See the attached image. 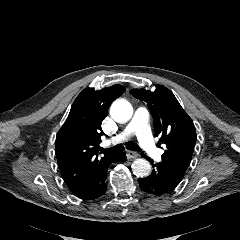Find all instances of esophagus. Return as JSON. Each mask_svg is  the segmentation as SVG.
Wrapping results in <instances>:
<instances>
[{
	"label": "esophagus",
	"mask_w": 240,
	"mask_h": 240,
	"mask_svg": "<svg viewBox=\"0 0 240 240\" xmlns=\"http://www.w3.org/2000/svg\"><path fill=\"white\" fill-rule=\"evenodd\" d=\"M137 156H138V153L135 152V151L128 150V151L126 152V157H127L128 160L134 159V158H136Z\"/></svg>",
	"instance_id": "34e87169"
}]
</instances>
